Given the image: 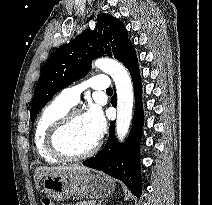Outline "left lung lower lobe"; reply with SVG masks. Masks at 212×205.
I'll return each mask as SVG.
<instances>
[{"mask_svg": "<svg viewBox=\"0 0 212 205\" xmlns=\"http://www.w3.org/2000/svg\"><path fill=\"white\" fill-rule=\"evenodd\" d=\"M124 65L131 74L136 98L130 136L126 143L120 144L114 137L115 122H111L109 138L103 150L82 164L123 181L134 195L140 197L142 186L139 148L144 119L141 99L142 84L135 50L128 56Z\"/></svg>", "mask_w": 212, "mask_h": 205, "instance_id": "1", "label": "left lung lower lobe"}]
</instances>
